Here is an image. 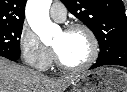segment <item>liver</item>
<instances>
[{"label": "liver", "mask_w": 127, "mask_h": 92, "mask_svg": "<svg viewBox=\"0 0 127 92\" xmlns=\"http://www.w3.org/2000/svg\"><path fill=\"white\" fill-rule=\"evenodd\" d=\"M76 78H49L0 57V92H64Z\"/></svg>", "instance_id": "1"}]
</instances>
